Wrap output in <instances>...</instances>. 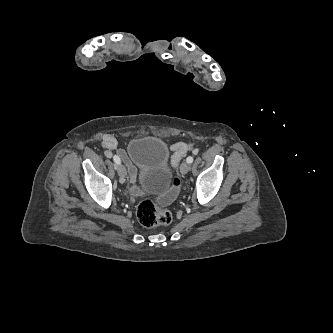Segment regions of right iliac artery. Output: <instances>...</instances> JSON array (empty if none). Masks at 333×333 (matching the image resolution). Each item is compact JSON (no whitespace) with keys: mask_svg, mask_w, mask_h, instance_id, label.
Instances as JSON below:
<instances>
[{"mask_svg":"<svg viewBox=\"0 0 333 333\" xmlns=\"http://www.w3.org/2000/svg\"><path fill=\"white\" fill-rule=\"evenodd\" d=\"M113 160L116 164H120L121 160L117 155H114Z\"/></svg>","mask_w":333,"mask_h":333,"instance_id":"82829eb1","label":"right iliac artery"}]
</instances>
